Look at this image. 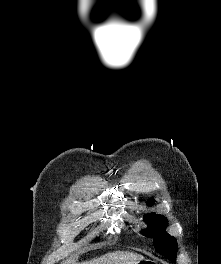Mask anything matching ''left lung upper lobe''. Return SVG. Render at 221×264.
Masks as SVG:
<instances>
[{
    "mask_svg": "<svg viewBox=\"0 0 221 264\" xmlns=\"http://www.w3.org/2000/svg\"><path fill=\"white\" fill-rule=\"evenodd\" d=\"M154 204L153 199H149L147 205ZM145 222L149 225V230L144 231V235L154 237V247L157 252L175 262L177 253V241L165 232L168 221L162 215L150 213L144 216Z\"/></svg>",
    "mask_w": 221,
    "mask_h": 264,
    "instance_id": "1",
    "label": "left lung upper lobe"
}]
</instances>
